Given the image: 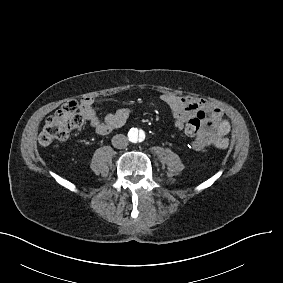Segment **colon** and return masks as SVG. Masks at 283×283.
I'll list each match as a JSON object with an SVG mask.
<instances>
[{"label":"colon","mask_w":283,"mask_h":283,"mask_svg":"<svg viewBox=\"0 0 283 283\" xmlns=\"http://www.w3.org/2000/svg\"><path fill=\"white\" fill-rule=\"evenodd\" d=\"M76 106L77 101L70 99L67 106L54 112L48 118L39 136L41 144L47 145L54 141L66 140L74 130H79L85 126L86 119ZM199 126L200 122L197 118H189L184 131L186 135L197 139Z\"/></svg>","instance_id":"colon-1"}]
</instances>
